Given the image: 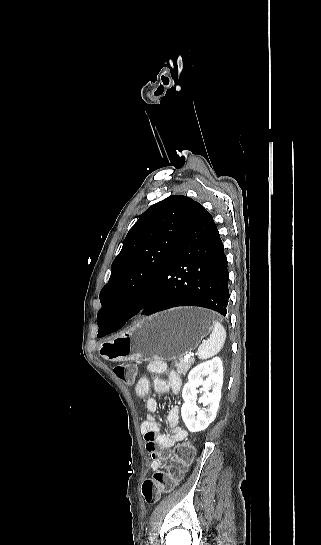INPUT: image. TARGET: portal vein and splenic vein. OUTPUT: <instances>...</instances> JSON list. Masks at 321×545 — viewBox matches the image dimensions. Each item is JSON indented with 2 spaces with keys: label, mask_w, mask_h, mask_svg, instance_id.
<instances>
[{
  "label": "portal vein and splenic vein",
  "mask_w": 321,
  "mask_h": 545,
  "mask_svg": "<svg viewBox=\"0 0 321 545\" xmlns=\"http://www.w3.org/2000/svg\"><path fill=\"white\" fill-rule=\"evenodd\" d=\"M194 353H190V355L188 356V359H190V357L192 356H195V354L198 352L196 349L193 351ZM187 361V360H186Z\"/></svg>",
  "instance_id": "18ae733b"
}]
</instances>
